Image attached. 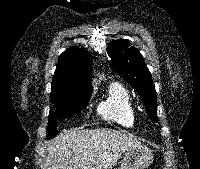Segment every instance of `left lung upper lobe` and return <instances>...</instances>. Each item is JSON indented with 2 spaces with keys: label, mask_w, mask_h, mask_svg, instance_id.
<instances>
[{
  "label": "left lung upper lobe",
  "mask_w": 200,
  "mask_h": 169,
  "mask_svg": "<svg viewBox=\"0 0 200 169\" xmlns=\"http://www.w3.org/2000/svg\"><path fill=\"white\" fill-rule=\"evenodd\" d=\"M107 53L111 59V68L138 90L149 116L153 121L158 122L156 92L143 56L125 39L112 41L107 48Z\"/></svg>",
  "instance_id": "obj_1"
}]
</instances>
